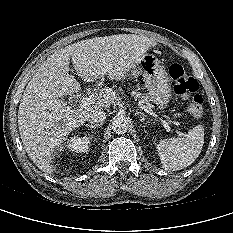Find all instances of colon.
<instances>
[{
	"instance_id": "colon-1",
	"label": "colon",
	"mask_w": 233,
	"mask_h": 233,
	"mask_svg": "<svg viewBox=\"0 0 233 233\" xmlns=\"http://www.w3.org/2000/svg\"><path fill=\"white\" fill-rule=\"evenodd\" d=\"M169 75L174 91L187 100L188 112L195 117L200 116L203 112L204 100L196 79L191 77L180 64H172L169 67Z\"/></svg>"
}]
</instances>
